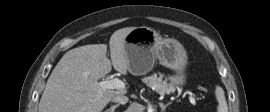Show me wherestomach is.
Segmentation results:
<instances>
[{"instance_id": "1", "label": "stomach", "mask_w": 270, "mask_h": 112, "mask_svg": "<svg viewBox=\"0 0 270 112\" xmlns=\"http://www.w3.org/2000/svg\"><path fill=\"white\" fill-rule=\"evenodd\" d=\"M125 54L128 71L133 75H144L154 66L155 59L175 74L169 78L172 86L182 87L186 83L185 68L187 53L173 38H163L150 27H136L125 38Z\"/></svg>"}]
</instances>
